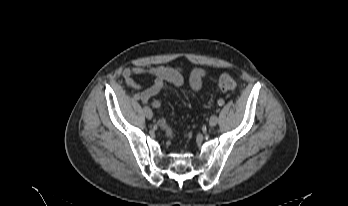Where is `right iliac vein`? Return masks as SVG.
Listing matches in <instances>:
<instances>
[{
    "mask_svg": "<svg viewBox=\"0 0 348 206\" xmlns=\"http://www.w3.org/2000/svg\"><path fill=\"white\" fill-rule=\"evenodd\" d=\"M143 110H144V115L146 116V118L151 120L153 117L152 110L147 106H145Z\"/></svg>",
    "mask_w": 348,
    "mask_h": 206,
    "instance_id": "63e3f726",
    "label": "right iliac vein"
}]
</instances>
